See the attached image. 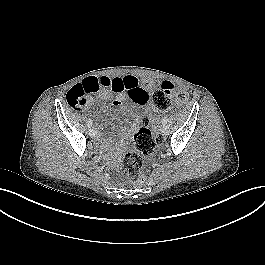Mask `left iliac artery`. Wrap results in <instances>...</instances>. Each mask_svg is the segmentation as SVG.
Instances as JSON below:
<instances>
[{
  "mask_svg": "<svg viewBox=\"0 0 265 265\" xmlns=\"http://www.w3.org/2000/svg\"><path fill=\"white\" fill-rule=\"evenodd\" d=\"M167 122H168V118H167V117H164V118L162 119V123H163V124H167Z\"/></svg>",
  "mask_w": 265,
  "mask_h": 265,
  "instance_id": "1",
  "label": "left iliac artery"
}]
</instances>
